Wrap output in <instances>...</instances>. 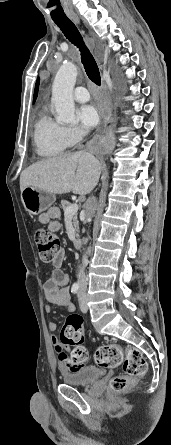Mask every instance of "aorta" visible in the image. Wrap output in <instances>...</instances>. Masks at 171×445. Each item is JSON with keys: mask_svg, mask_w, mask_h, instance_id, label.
<instances>
[{"mask_svg": "<svg viewBox=\"0 0 171 445\" xmlns=\"http://www.w3.org/2000/svg\"><path fill=\"white\" fill-rule=\"evenodd\" d=\"M76 77L77 67L71 62L64 63L55 76L51 101L55 106L56 120L59 123L70 124L76 122L73 100V89Z\"/></svg>", "mask_w": 171, "mask_h": 445, "instance_id": "aorta-1", "label": "aorta"}]
</instances>
